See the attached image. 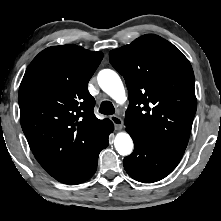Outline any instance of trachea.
<instances>
[{
  "label": "trachea",
  "mask_w": 221,
  "mask_h": 221,
  "mask_svg": "<svg viewBox=\"0 0 221 221\" xmlns=\"http://www.w3.org/2000/svg\"><path fill=\"white\" fill-rule=\"evenodd\" d=\"M99 112L104 115H112L115 113V108L110 101H103L100 105Z\"/></svg>",
  "instance_id": "obj_1"
}]
</instances>
